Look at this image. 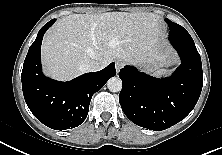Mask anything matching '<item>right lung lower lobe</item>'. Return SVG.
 Returning <instances> with one entry per match:
<instances>
[{
  "label": "right lung lower lobe",
  "mask_w": 222,
  "mask_h": 155,
  "mask_svg": "<svg viewBox=\"0 0 222 155\" xmlns=\"http://www.w3.org/2000/svg\"><path fill=\"white\" fill-rule=\"evenodd\" d=\"M55 22L46 23L30 46L21 74L24 99L33 115L55 130L74 128L86 119L91 98L110 77L116 75L115 64L98 72L83 74L60 82L43 75L40 49L43 35Z\"/></svg>",
  "instance_id": "98d812e1"
}]
</instances>
